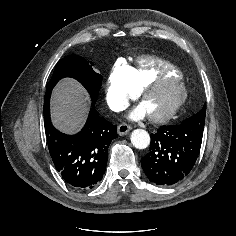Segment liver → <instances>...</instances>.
Masks as SVG:
<instances>
[{"label": "liver", "mask_w": 236, "mask_h": 236, "mask_svg": "<svg viewBox=\"0 0 236 236\" xmlns=\"http://www.w3.org/2000/svg\"><path fill=\"white\" fill-rule=\"evenodd\" d=\"M87 111L88 97L79 83L65 79L56 86L51 99V117L59 130L66 133L77 131Z\"/></svg>", "instance_id": "1"}]
</instances>
